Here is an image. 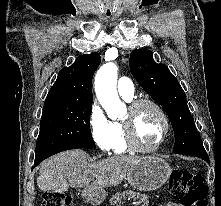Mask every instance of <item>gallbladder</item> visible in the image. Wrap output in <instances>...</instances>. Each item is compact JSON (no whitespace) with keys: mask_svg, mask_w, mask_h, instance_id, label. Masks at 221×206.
<instances>
[{"mask_svg":"<svg viewBox=\"0 0 221 206\" xmlns=\"http://www.w3.org/2000/svg\"><path fill=\"white\" fill-rule=\"evenodd\" d=\"M67 186V181H39V190H46V194H61Z\"/></svg>","mask_w":221,"mask_h":206,"instance_id":"obj_1","label":"gallbladder"}]
</instances>
